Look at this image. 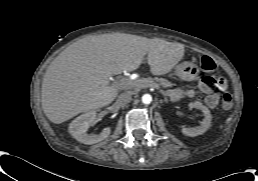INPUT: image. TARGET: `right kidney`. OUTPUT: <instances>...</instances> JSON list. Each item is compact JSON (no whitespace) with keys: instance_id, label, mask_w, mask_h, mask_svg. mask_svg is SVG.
Returning a JSON list of instances; mask_svg holds the SVG:
<instances>
[{"instance_id":"ca27d5eb","label":"right kidney","mask_w":258,"mask_h":181,"mask_svg":"<svg viewBox=\"0 0 258 181\" xmlns=\"http://www.w3.org/2000/svg\"><path fill=\"white\" fill-rule=\"evenodd\" d=\"M96 112L90 111L75 118L69 125V133L79 142L92 145L106 139L110 133V127H106L99 134H87L88 128L96 120Z\"/></svg>"}]
</instances>
